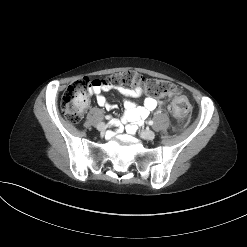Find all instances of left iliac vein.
Instances as JSON below:
<instances>
[{
	"instance_id": "left-iliac-vein-1",
	"label": "left iliac vein",
	"mask_w": 247,
	"mask_h": 247,
	"mask_svg": "<svg viewBox=\"0 0 247 247\" xmlns=\"http://www.w3.org/2000/svg\"><path fill=\"white\" fill-rule=\"evenodd\" d=\"M140 136L145 140H153L155 138V133L151 130H143L140 132Z\"/></svg>"
}]
</instances>
